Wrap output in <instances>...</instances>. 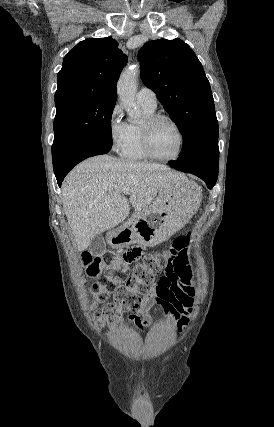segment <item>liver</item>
<instances>
[{"label":"liver","mask_w":274,"mask_h":427,"mask_svg":"<svg viewBox=\"0 0 274 427\" xmlns=\"http://www.w3.org/2000/svg\"><path fill=\"white\" fill-rule=\"evenodd\" d=\"M178 178L185 176L171 172L167 166L117 160L113 156H94L78 164L61 188L63 208L77 249L83 251L94 235L124 221L130 214L129 202L135 214H140L157 196L158 200L168 198L172 194L170 184L178 182ZM126 188L129 200L122 194Z\"/></svg>","instance_id":"liver-1"}]
</instances>
